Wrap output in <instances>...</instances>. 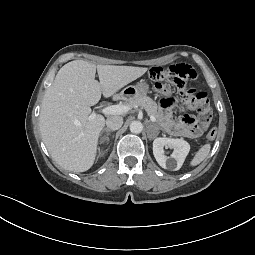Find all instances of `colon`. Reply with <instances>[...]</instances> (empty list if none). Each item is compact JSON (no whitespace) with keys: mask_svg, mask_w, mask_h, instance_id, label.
Returning <instances> with one entry per match:
<instances>
[{"mask_svg":"<svg viewBox=\"0 0 255 255\" xmlns=\"http://www.w3.org/2000/svg\"><path fill=\"white\" fill-rule=\"evenodd\" d=\"M150 81L156 89L162 93L168 92V83L174 85L181 94L184 106L188 111H197L199 124L202 128H207L212 121V108L207 94L197 91L191 82L196 78L195 70L186 64L172 65L167 68L153 67L149 72ZM216 131L211 129L206 138L213 140Z\"/></svg>","mask_w":255,"mask_h":255,"instance_id":"colon-1","label":"colon"}]
</instances>
